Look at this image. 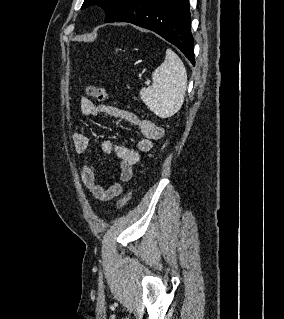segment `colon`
<instances>
[{"label": "colon", "instance_id": "5ec220e1", "mask_svg": "<svg viewBox=\"0 0 284 319\" xmlns=\"http://www.w3.org/2000/svg\"><path fill=\"white\" fill-rule=\"evenodd\" d=\"M86 93H87V95L98 100L99 102H105L108 100V94H107L106 90L102 87H99V86H95V85L88 86L86 88ZM130 198H131V192H127L126 194H124L117 201L116 208L121 209L122 207H124L128 203V201L130 200Z\"/></svg>", "mask_w": 284, "mask_h": 319}]
</instances>
